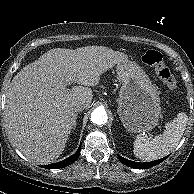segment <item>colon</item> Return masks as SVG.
<instances>
[{
  "mask_svg": "<svg viewBox=\"0 0 194 194\" xmlns=\"http://www.w3.org/2000/svg\"><path fill=\"white\" fill-rule=\"evenodd\" d=\"M142 60L147 65L155 68L157 75L170 91H175L177 89V80L164 62L163 56L160 52L148 50L143 54Z\"/></svg>",
  "mask_w": 194,
  "mask_h": 194,
  "instance_id": "obj_1",
  "label": "colon"
}]
</instances>
